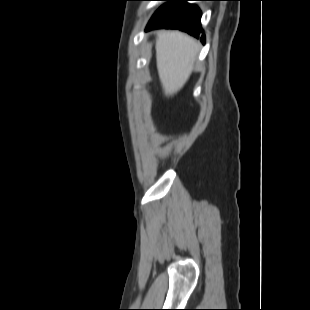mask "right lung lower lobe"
I'll list each match as a JSON object with an SVG mask.
<instances>
[{
  "mask_svg": "<svg viewBox=\"0 0 310 310\" xmlns=\"http://www.w3.org/2000/svg\"><path fill=\"white\" fill-rule=\"evenodd\" d=\"M150 19L147 30L155 28H172L185 31L195 37H199L202 32L200 18L201 11L196 5L188 4L190 0H165ZM205 42L204 34L201 37Z\"/></svg>",
  "mask_w": 310,
  "mask_h": 310,
  "instance_id": "right-lung-lower-lobe-1",
  "label": "right lung lower lobe"
}]
</instances>
